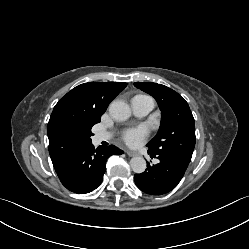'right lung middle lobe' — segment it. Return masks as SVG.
I'll return each mask as SVG.
<instances>
[{"mask_svg": "<svg viewBox=\"0 0 249 249\" xmlns=\"http://www.w3.org/2000/svg\"><path fill=\"white\" fill-rule=\"evenodd\" d=\"M93 134H92V132L89 134V136H88V144L89 143H91V139H90V137L92 136Z\"/></svg>", "mask_w": 249, "mask_h": 249, "instance_id": "right-lung-middle-lobe-1", "label": "right lung middle lobe"}]
</instances>
